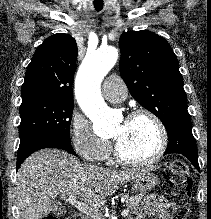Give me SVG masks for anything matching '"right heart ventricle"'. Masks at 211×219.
<instances>
[{"instance_id": "right-heart-ventricle-1", "label": "right heart ventricle", "mask_w": 211, "mask_h": 219, "mask_svg": "<svg viewBox=\"0 0 211 219\" xmlns=\"http://www.w3.org/2000/svg\"><path fill=\"white\" fill-rule=\"evenodd\" d=\"M104 159L111 161L110 153H108Z\"/></svg>"}]
</instances>
